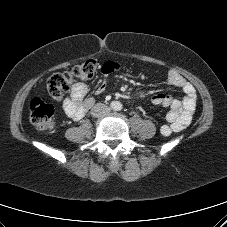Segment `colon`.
<instances>
[{
  "label": "colon",
  "instance_id": "5ec220e1",
  "mask_svg": "<svg viewBox=\"0 0 227 227\" xmlns=\"http://www.w3.org/2000/svg\"><path fill=\"white\" fill-rule=\"evenodd\" d=\"M98 69L95 60L89 59L76 65L70 71L56 73L47 81V92L51 99L61 100L76 81H89ZM30 121L40 131L54 128V107L41 98H34L30 104Z\"/></svg>",
  "mask_w": 227,
  "mask_h": 227
}]
</instances>
